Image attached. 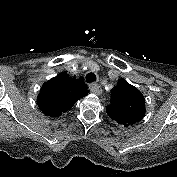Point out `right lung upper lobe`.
<instances>
[{
    "mask_svg": "<svg viewBox=\"0 0 177 177\" xmlns=\"http://www.w3.org/2000/svg\"><path fill=\"white\" fill-rule=\"evenodd\" d=\"M86 95L87 92L78 79L60 73L43 84L37 103L45 115L58 117Z\"/></svg>",
    "mask_w": 177,
    "mask_h": 177,
    "instance_id": "right-lung-upper-lobe-1",
    "label": "right lung upper lobe"
}]
</instances>
